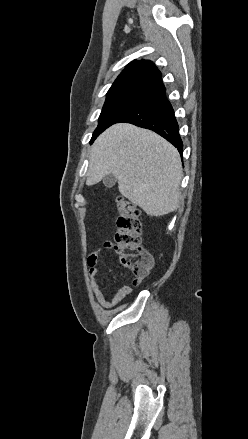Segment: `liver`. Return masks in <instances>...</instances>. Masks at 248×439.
Wrapping results in <instances>:
<instances>
[{"instance_id": "1", "label": "liver", "mask_w": 248, "mask_h": 439, "mask_svg": "<svg viewBox=\"0 0 248 439\" xmlns=\"http://www.w3.org/2000/svg\"><path fill=\"white\" fill-rule=\"evenodd\" d=\"M113 174L119 192L149 216L179 207L182 179L177 149L158 134L127 123L112 125L94 142L86 184Z\"/></svg>"}]
</instances>
